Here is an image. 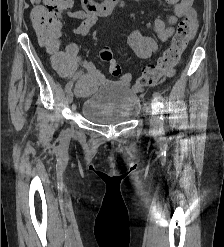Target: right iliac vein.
Wrapping results in <instances>:
<instances>
[{
	"label": "right iliac vein",
	"instance_id": "63e3f726",
	"mask_svg": "<svg viewBox=\"0 0 224 247\" xmlns=\"http://www.w3.org/2000/svg\"><path fill=\"white\" fill-rule=\"evenodd\" d=\"M73 102V92L71 90H69L67 92V103L71 104Z\"/></svg>",
	"mask_w": 224,
	"mask_h": 247
}]
</instances>
